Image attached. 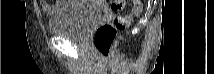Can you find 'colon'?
Listing matches in <instances>:
<instances>
[{"label":"colon","mask_w":214,"mask_h":74,"mask_svg":"<svg viewBox=\"0 0 214 74\" xmlns=\"http://www.w3.org/2000/svg\"><path fill=\"white\" fill-rule=\"evenodd\" d=\"M133 8L130 13L124 16H117L113 22L100 25L93 35V45L98 54L102 57H108L111 54L112 44L118 31L126 30L133 19L142 11V2L133 0ZM126 1L119 0L111 3V9L115 12L121 11Z\"/></svg>","instance_id":"5ec220e1"}]
</instances>
